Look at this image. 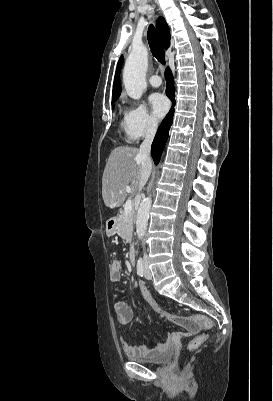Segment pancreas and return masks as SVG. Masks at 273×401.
I'll use <instances>...</instances> for the list:
<instances>
[{"mask_svg": "<svg viewBox=\"0 0 273 401\" xmlns=\"http://www.w3.org/2000/svg\"><path fill=\"white\" fill-rule=\"evenodd\" d=\"M133 213H120L116 221V229L119 233V237H122L124 241H131L133 233Z\"/></svg>", "mask_w": 273, "mask_h": 401, "instance_id": "obj_1", "label": "pancreas"}]
</instances>
